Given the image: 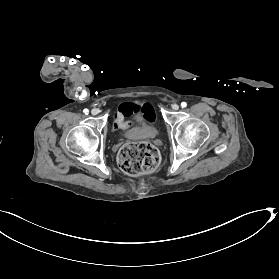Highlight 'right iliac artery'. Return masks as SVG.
Returning a JSON list of instances; mask_svg holds the SVG:
<instances>
[{
    "instance_id": "82829eb1",
    "label": "right iliac artery",
    "mask_w": 279,
    "mask_h": 279,
    "mask_svg": "<svg viewBox=\"0 0 279 279\" xmlns=\"http://www.w3.org/2000/svg\"><path fill=\"white\" fill-rule=\"evenodd\" d=\"M83 112L87 115L89 113L88 109H84Z\"/></svg>"
}]
</instances>
